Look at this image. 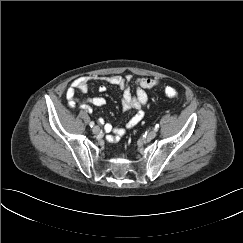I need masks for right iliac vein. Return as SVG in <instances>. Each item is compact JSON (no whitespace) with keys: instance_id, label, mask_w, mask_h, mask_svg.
<instances>
[{"instance_id":"1","label":"right iliac vein","mask_w":243,"mask_h":243,"mask_svg":"<svg viewBox=\"0 0 243 243\" xmlns=\"http://www.w3.org/2000/svg\"><path fill=\"white\" fill-rule=\"evenodd\" d=\"M93 133L94 134H98L100 132V127L99 126H95L93 129H92Z\"/></svg>"}]
</instances>
